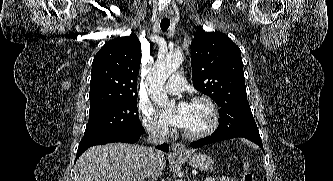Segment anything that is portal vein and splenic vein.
Masks as SVG:
<instances>
[{
	"label": "portal vein and splenic vein",
	"instance_id": "obj_1",
	"mask_svg": "<svg viewBox=\"0 0 333 181\" xmlns=\"http://www.w3.org/2000/svg\"><path fill=\"white\" fill-rule=\"evenodd\" d=\"M205 181H215V178H213V177H207V178L205 179Z\"/></svg>",
	"mask_w": 333,
	"mask_h": 181
}]
</instances>
